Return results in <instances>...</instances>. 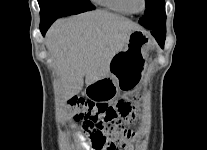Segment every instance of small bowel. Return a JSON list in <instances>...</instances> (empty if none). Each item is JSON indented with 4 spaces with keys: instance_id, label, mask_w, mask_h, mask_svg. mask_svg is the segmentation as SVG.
Listing matches in <instances>:
<instances>
[{
    "instance_id": "c3829d8e",
    "label": "small bowel",
    "mask_w": 207,
    "mask_h": 150,
    "mask_svg": "<svg viewBox=\"0 0 207 150\" xmlns=\"http://www.w3.org/2000/svg\"><path fill=\"white\" fill-rule=\"evenodd\" d=\"M130 116H128V118H129ZM73 127H75L76 126V123H73V125H72ZM77 137L80 139V141H81V144H80V147H81V149H83V150H88V145H87V143L85 142V137H84V135H82L81 133H78L77 134ZM92 139L93 138H91V134H90V141H91V144H92ZM91 150H96L95 149V147L92 145V149Z\"/></svg>"
}]
</instances>
